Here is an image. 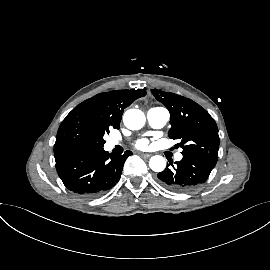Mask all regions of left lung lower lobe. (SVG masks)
<instances>
[{"label":"left lung lower lobe","mask_w":270,"mask_h":270,"mask_svg":"<svg viewBox=\"0 0 270 270\" xmlns=\"http://www.w3.org/2000/svg\"><path fill=\"white\" fill-rule=\"evenodd\" d=\"M163 172L158 173L162 186L174 192H188L204 183L216 164L193 155H183L181 161H170Z\"/></svg>","instance_id":"obj_1"}]
</instances>
